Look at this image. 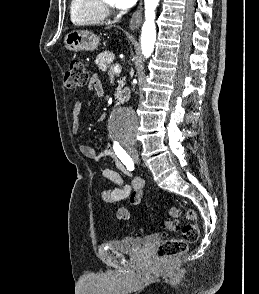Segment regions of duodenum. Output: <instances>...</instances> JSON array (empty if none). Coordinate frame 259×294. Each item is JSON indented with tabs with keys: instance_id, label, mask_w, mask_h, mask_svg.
<instances>
[{
	"instance_id": "obj_1",
	"label": "duodenum",
	"mask_w": 259,
	"mask_h": 294,
	"mask_svg": "<svg viewBox=\"0 0 259 294\" xmlns=\"http://www.w3.org/2000/svg\"><path fill=\"white\" fill-rule=\"evenodd\" d=\"M128 94H129L128 89H124L123 92L119 94L118 96L117 104L121 105L123 101L126 99V97L128 96Z\"/></svg>"
}]
</instances>
